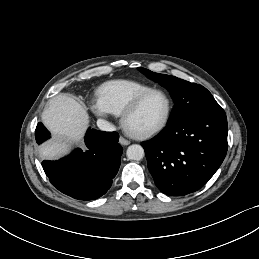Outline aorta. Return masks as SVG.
I'll use <instances>...</instances> for the list:
<instances>
[{
  "label": "aorta",
  "mask_w": 259,
  "mask_h": 259,
  "mask_svg": "<svg viewBox=\"0 0 259 259\" xmlns=\"http://www.w3.org/2000/svg\"><path fill=\"white\" fill-rule=\"evenodd\" d=\"M126 155L130 160L139 161L144 157L145 153L141 145L133 144L127 148Z\"/></svg>",
  "instance_id": "1"
}]
</instances>
